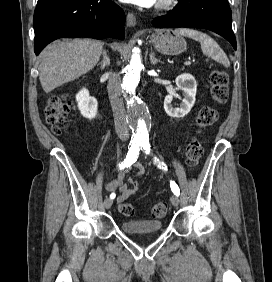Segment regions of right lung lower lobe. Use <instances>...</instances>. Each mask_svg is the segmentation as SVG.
<instances>
[{"mask_svg": "<svg viewBox=\"0 0 272 282\" xmlns=\"http://www.w3.org/2000/svg\"><path fill=\"white\" fill-rule=\"evenodd\" d=\"M125 14L111 0H38L34 12V51L65 37L124 39Z\"/></svg>", "mask_w": 272, "mask_h": 282, "instance_id": "right-lung-lower-lobe-1", "label": "right lung lower lobe"}]
</instances>
